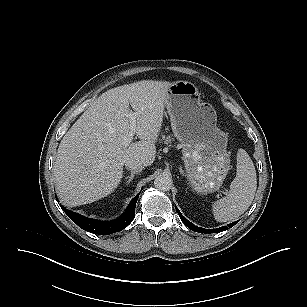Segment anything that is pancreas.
<instances>
[{
  "instance_id": "obj_1",
  "label": "pancreas",
  "mask_w": 307,
  "mask_h": 307,
  "mask_svg": "<svg viewBox=\"0 0 307 307\" xmlns=\"http://www.w3.org/2000/svg\"><path fill=\"white\" fill-rule=\"evenodd\" d=\"M161 141H163L164 144H166V145H171V143L174 141V139L169 135L168 136L162 135Z\"/></svg>"
}]
</instances>
